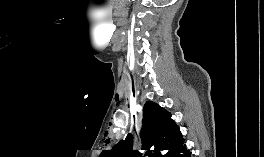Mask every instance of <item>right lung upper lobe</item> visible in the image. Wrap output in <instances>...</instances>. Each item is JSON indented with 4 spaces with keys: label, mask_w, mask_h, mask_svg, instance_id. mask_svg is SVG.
Returning a JSON list of instances; mask_svg holds the SVG:
<instances>
[{
    "label": "right lung upper lobe",
    "mask_w": 264,
    "mask_h": 157,
    "mask_svg": "<svg viewBox=\"0 0 264 157\" xmlns=\"http://www.w3.org/2000/svg\"><path fill=\"white\" fill-rule=\"evenodd\" d=\"M143 128L141 139L143 149L151 146L155 150L168 152L183 139L179 127L171 114L158 104L148 101L144 106ZM154 157V154H145ZM100 157H142V153L133 149L132 135L128 134L124 140L119 141L112 150L103 151Z\"/></svg>",
    "instance_id": "1"
}]
</instances>
